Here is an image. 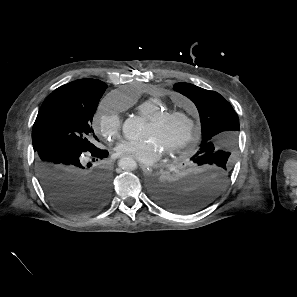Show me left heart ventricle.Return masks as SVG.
Here are the masks:
<instances>
[{
  "label": "left heart ventricle",
  "mask_w": 297,
  "mask_h": 297,
  "mask_svg": "<svg viewBox=\"0 0 297 297\" xmlns=\"http://www.w3.org/2000/svg\"><path fill=\"white\" fill-rule=\"evenodd\" d=\"M188 124L183 119H174L155 127L148 121L144 138L152 137L157 140L164 151L180 142L187 134Z\"/></svg>",
  "instance_id": "left-heart-ventricle-1"
}]
</instances>
